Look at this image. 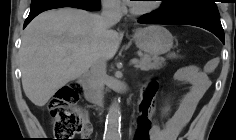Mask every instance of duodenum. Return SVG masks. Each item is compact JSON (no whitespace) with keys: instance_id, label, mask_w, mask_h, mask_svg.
Listing matches in <instances>:
<instances>
[{"instance_id":"1","label":"duodenum","mask_w":236,"mask_h":140,"mask_svg":"<svg viewBox=\"0 0 236 140\" xmlns=\"http://www.w3.org/2000/svg\"><path fill=\"white\" fill-rule=\"evenodd\" d=\"M79 83L83 89L84 98L89 103H97L99 97L93 86V80L90 73L86 72L79 76Z\"/></svg>"}]
</instances>
